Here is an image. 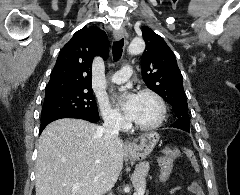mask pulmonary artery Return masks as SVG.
Returning a JSON list of instances; mask_svg holds the SVG:
<instances>
[{"label": "pulmonary artery", "mask_w": 240, "mask_h": 195, "mask_svg": "<svg viewBox=\"0 0 240 195\" xmlns=\"http://www.w3.org/2000/svg\"><path fill=\"white\" fill-rule=\"evenodd\" d=\"M128 69V66H121V71H116V74H114L112 81L114 83H123L126 80H130V76H132L133 73Z\"/></svg>", "instance_id": "1"}]
</instances>
